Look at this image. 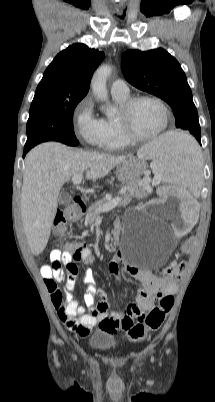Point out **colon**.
<instances>
[{
    "label": "colon",
    "mask_w": 215,
    "mask_h": 402,
    "mask_svg": "<svg viewBox=\"0 0 215 402\" xmlns=\"http://www.w3.org/2000/svg\"><path fill=\"white\" fill-rule=\"evenodd\" d=\"M66 231V221L61 212H58L54 219V233L57 236L63 235ZM196 236H189L188 239L183 241V245L179 247V252L181 254H186L194 248V243L197 242ZM193 243V244H192ZM63 250H76L78 248L77 240L63 241ZM80 258V252H76L74 259L78 260ZM62 264H65L66 270H74V263H65L60 260L53 259L52 256L49 257L47 265L53 268H60ZM184 268V263H177L175 265L169 266L165 274L167 275H178ZM45 284L51 294L52 301L56 308L60 309L62 307V293L57 287L56 282L53 279H45ZM174 304L173 296H164L160 299L158 306L154 307L145 317H143L138 323L134 324L128 330V337L132 341L142 340L149 331H155L165 320L166 315L170 312Z\"/></svg>",
    "instance_id": "obj_1"
}]
</instances>
